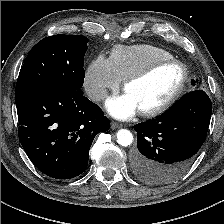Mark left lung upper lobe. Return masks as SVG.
Returning a JSON list of instances; mask_svg holds the SVG:
<instances>
[{
    "mask_svg": "<svg viewBox=\"0 0 224 224\" xmlns=\"http://www.w3.org/2000/svg\"><path fill=\"white\" fill-rule=\"evenodd\" d=\"M197 81H198V80H191V84H192V85H196Z\"/></svg>",
    "mask_w": 224,
    "mask_h": 224,
    "instance_id": "left-lung-upper-lobe-1",
    "label": "left lung upper lobe"
}]
</instances>
